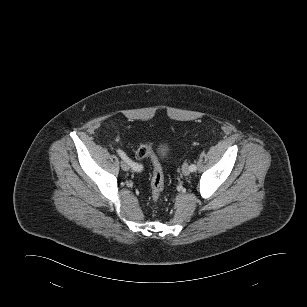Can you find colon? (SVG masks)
Wrapping results in <instances>:
<instances>
[{"mask_svg":"<svg viewBox=\"0 0 307 307\" xmlns=\"http://www.w3.org/2000/svg\"><path fill=\"white\" fill-rule=\"evenodd\" d=\"M137 157L140 159H150L153 164V173L151 177V192L153 201L157 202L164 189V175L163 170L156 159L151 144H141L136 151Z\"/></svg>","mask_w":307,"mask_h":307,"instance_id":"obj_1","label":"colon"}]
</instances>
